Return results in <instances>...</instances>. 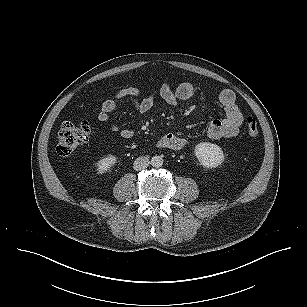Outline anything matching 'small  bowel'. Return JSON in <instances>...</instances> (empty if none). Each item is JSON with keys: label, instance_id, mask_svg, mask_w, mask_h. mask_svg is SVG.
Returning <instances> with one entry per match:
<instances>
[{"label": "small bowel", "instance_id": "obj_1", "mask_svg": "<svg viewBox=\"0 0 307 307\" xmlns=\"http://www.w3.org/2000/svg\"><path fill=\"white\" fill-rule=\"evenodd\" d=\"M195 87L190 82H183L176 89L168 84H163L155 90L145 93L136 87H126L117 90L111 99L105 100L97 115V120L102 124H108L110 130L118 132L123 139H130L133 136L131 130L119 129L110 121V113L121 103L130 104L140 113L149 112L155 105L156 97H161L167 104L176 105L180 101H186L193 97ZM218 100L225 112L223 119H214L210 122L207 134L210 138H232L238 135L243 123V116L236 104V97L232 90L224 89L220 92ZM185 138L165 134L158 140V146L164 149L180 150L186 145Z\"/></svg>", "mask_w": 307, "mask_h": 307}]
</instances>
